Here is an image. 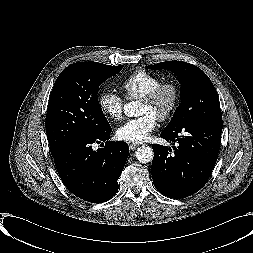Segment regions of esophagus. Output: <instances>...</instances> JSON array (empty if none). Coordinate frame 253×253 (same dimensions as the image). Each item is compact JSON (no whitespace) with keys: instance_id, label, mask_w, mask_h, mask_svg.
Here are the masks:
<instances>
[{"instance_id":"34e87169","label":"esophagus","mask_w":253,"mask_h":253,"mask_svg":"<svg viewBox=\"0 0 253 253\" xmlns=\"http://www.w3.org/2000/svg\"><path fill=\"white\" fill-rule=\"evenodd\" d=\"M139 147V145L138 144H135V143H129V149L130 150H135L136 148H138Z\"/></svg>"}]
</instances>
